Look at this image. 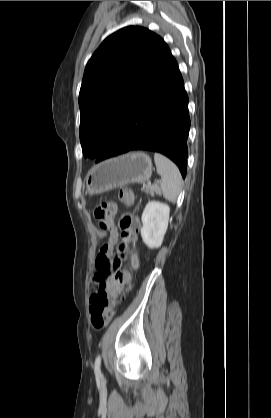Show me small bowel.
<instances>
[{"label":"small bowel","mask_w":271,"mask_h":418,"mask_svg":"<svg viewBox=\"0 0 271 418\" xmlns=\"http://www.w3.org/2000/svg\"><path fill=\"white\" fill-rule=\"evenodd\" d=\"M131 264L133 268H137L139 264V258L135 251H133L131 255ZM130 280L131 277L128 273H120L119 276L109 277L102 283V285L105 287L108 293L113 294L116 286L121 284H129Z\"/></svg>","instance_id":"obj_1"}]
</instances>
